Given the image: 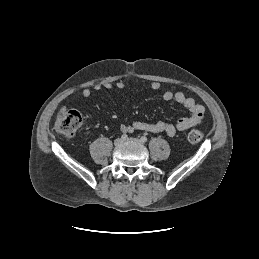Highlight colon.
<instances>
[{
    "label": "colon",
    "instance_id": "1",
    "mask_svg": "<svg viewBox=\"0 0 259 259\" xmlns=\"http://www.w3.org/2000/svg\"><path fill=\"white\" fill-rule=\"evenodd\" d=\"M82 124V115L77 110L61 111L53 125L54 131L65 138L73 137ZM189 142L197 144L202 141L203 133L198 129H193L187 136Z\"/></svg>",
    "mask_w": 259,
    "mask_h": 259
}]
</instances>
